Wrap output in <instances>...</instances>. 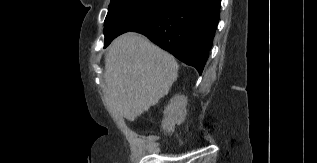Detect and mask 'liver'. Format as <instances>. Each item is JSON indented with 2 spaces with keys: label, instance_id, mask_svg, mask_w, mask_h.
Wrapping results in <instances>:
<instances>
[{
  "label": "liver",
  "instance_id": "obj_1",
  "mask_svg": "<svg viewBox=\"0 0 317 163\" xmlns=\"http://www.w3.org/2000/svg\"><path fill=\"white\" fill-rule=\"evenodd\" d=\"M177 76L175 58L142 35L128 32L117 37L105 55L109 112L134 121L168 94Z\"/></svg>",
  "mask_w": 317,
  "mask_h": 163
}]
</instances>
